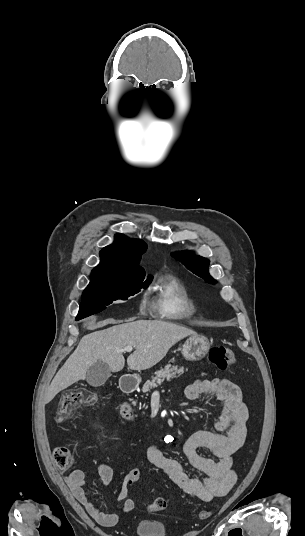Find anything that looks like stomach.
Returning <instances> with one entry per match:
<instances>
[{
  "label": "stomach",
  "mask_w": 305,
  "mask_h": 536,
  "mask_svg": "<svg viewBox=\"0 0 305 536\" xmlns=\"http://www.w3.org/2000/svg\"><path fill=\"white\" fill-rule=\"evenodd\" d=\"M210 342L205 336H190L182 346V354L185 360H202L210 350ZM141 378H134V386L140 384Z\"/></svg>",
  "instance_id": "stomach-1"
}]
</instances>
